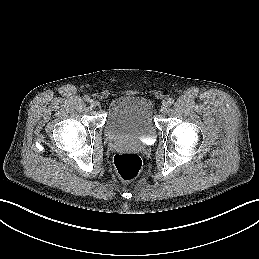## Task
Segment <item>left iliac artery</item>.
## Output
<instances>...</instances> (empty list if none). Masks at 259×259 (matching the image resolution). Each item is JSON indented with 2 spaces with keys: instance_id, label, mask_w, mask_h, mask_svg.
I'll list each match as a JSON object with an SVG mask.
<instances>
[{
  "instance_id": "left-iliac-artery-1",
  "label": "left iliac artery",
  "mask_w": 259,
  "mask_h": 259,
  "mask_svg": "<svg viewBox=\"0 0 259 259\" xmlns=\"http://www.w3.org/2000/svg\"><path fill=\"white\" fill-rule=\"evenodd\" d=\"M167 102H168L169 105H172L174 103V99L173 98H169Z\"/></svg>"
}]
</instances>
